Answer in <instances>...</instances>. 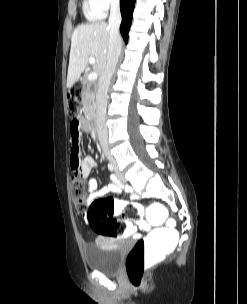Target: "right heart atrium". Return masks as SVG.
Listing matches in <instances>:
<instances>
[{"label":"right heart atrium","instance_id":"1","mask_svg":"<svg viewBox=\"0 0 247 304\" xmlns=\"http://www.w3.org/2000/svg\"><path fill=\"white\" fill-rule=\"evenodd\" d=\"M120 0H94L96 6L103 12H107L112 7L118 5Z\"/></svg>","mask_w":247,"mask_h":304}]
</instances>
